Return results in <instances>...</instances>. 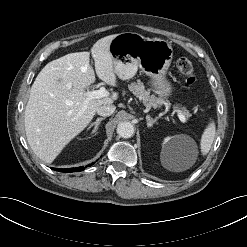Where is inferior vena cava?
Returning <instances> with one entry per match:
<instances>
[{"label":"inferior vena cava","mask_w":247,"mask_h":247,"mask_svg":"<svg viewBox=\"0 0 247 247\" xmlns=\"http://www.w3.org/2000/svg\"><path fill=\"white\" fill-rule=\"evenodd\" d=\"M116 107L114 105H101L97 109V114L100 116H110L111 114L114 113Z\"/></svg>","instance_id":"obj_1"}]
</instances>
